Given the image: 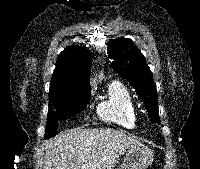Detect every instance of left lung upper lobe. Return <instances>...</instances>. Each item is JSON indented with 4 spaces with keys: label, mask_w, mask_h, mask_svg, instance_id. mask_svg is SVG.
<instances>
[{
    "label": "left lung upper lobe",
    "mask_w": 200,
    "mask_h": 169,
    "mask_svg": "<svg viewBox=\"0 0 200 169\" xmlns=\"http://www.w3.org/2000/svg\"><path fill=\"white\" fill-rule=\"evenodd\" d=\"M107 54L112 60L113 69L138 90L153 122L160 124L157 90L143 54L130 39L123 37L110 41Z\"/></svg>",
    "instance_id": "left-lung-upper-lobe-1"
}]
</instances>
